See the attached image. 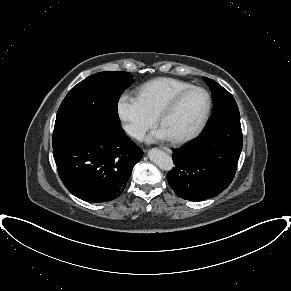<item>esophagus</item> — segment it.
Listing matches in <instances>:
<instances>
[{
  "label": "esophagus",
  "instance_id": "esophagus-1",
  "mask_svg": "<svg viewBox=\"0 0 291 291\" xmlns=\"http://www.w3.org/2000/svg\"><path fill=\"white\" fill-rule=\"evenodd\" d=\"M161 149L166 151V152H168V153H171V150L169 148H167V147H161Z\"/></svg>",
  "mask_w": 291,
  "mask_h": 291
}]
</instances>
